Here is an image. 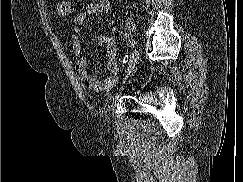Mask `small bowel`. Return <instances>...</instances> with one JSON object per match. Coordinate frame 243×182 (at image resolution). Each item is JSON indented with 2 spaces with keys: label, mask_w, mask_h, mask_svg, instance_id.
Segmentation results:
<instances>
[{
  "label": "small bowel",
  "mask_w": 243,
  "mask_h": 182,
  "mask_svg": "<svg viewBox=\"0 0 243 182\" xmlns=\"http://www.w3.org/2000/svg\"><path fill=\"white\" fill-rule=\"evenodd\" d=\"M110 5L108 0H91L84 10L79 12L73 20L72 26V51L76 58L75 73L87 88L97 92H107L111 90L118 82L119 67L116 61L117 49L115 41L112 37H98L97 43L104 44L107 52V69L111 73L104 80H99L94 75L89 74L87 70V59L82 56V28L88 16L105 13L109 10Z\"/></svg>",
  "instance_id": "small-bowel-1"
}]
</instances>
